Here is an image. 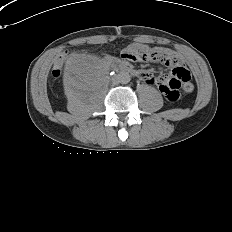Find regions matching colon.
<instances>
[{"instance_id":"obj_1","label":"colon","mask_w":232,"mask_h":232,"mask_svg":"<svg viewBox=\"0 0 232 232\" xmlns=\"http://www.w3.org/2000/svg\"><path fill=\"white\" fill-rule=\"evenodd\" d=\"M124 59L133 62L144 61L146 59H160L161 53L157 50L138 48L136 50H126ZM61 75V60L57 61L52 68V76L57 78ZM190 81V73L183 67L173 68V73L164 80L162 92L170 102H176L181 98V92L186 91V83Z\"/></svg>"}]
</instances>
